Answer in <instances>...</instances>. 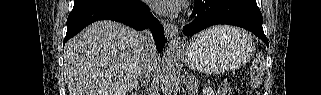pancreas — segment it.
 I'll use <instances>...</instances> for the list:
<instances>
[{
    "mask_svg": "<svg viewBox=\"0 0 321 95\" xmlns=\"http://www.w3.org/2000/svg\"><path fill=\"white\" fill-rule=\"evenodd\" d=\"M184 84L190 95H194L198 91V79L194 75H190L184 79Z\"/></svg>",
    "mask_w": 321,
    "mask_h": 95,
    "instance_id": "cf45deb5",
    "label": "pancreas"
}]
</instances>
